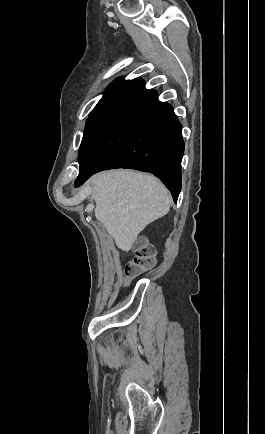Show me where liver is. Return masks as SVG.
<instances>
[{"label":"liver","mask_w":265,"mask_h":434,"mask_svg":"<svg viewBox=\"0 0 265 434\" xmlns=\"http://www.w3.org/2000/svg\"><path fill=\"white\" fill-rule=\"evenodd\" d=\"M96 202L95 218L104 224L119 250L129 252L138 234L166 216L171 198L162 182L130 170L100 172L89 180Z\"/></svg>","instance_id":"1"}]
</instances>
